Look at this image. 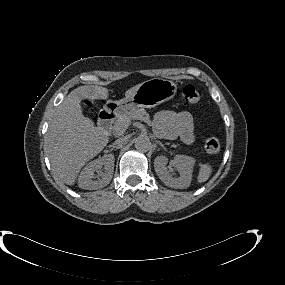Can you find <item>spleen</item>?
<instances>
[{"label": "spleen", "instance_id": "1", "mask_svg": "<svg viewBox=\"0 0 285 285\" xmlns=\"http://www.w3.org/2000/svg\"><path fill=\"white\" fill-rule=\"evenodd\" d=\"M211 174H212L211 166L208 165V164H203V165H201V167L199 169V174H198L197 181L199 183H204V182H206L209 179Z\"/></svg>", "mask_w": 285, "mask_h": 285}]
</instances>
